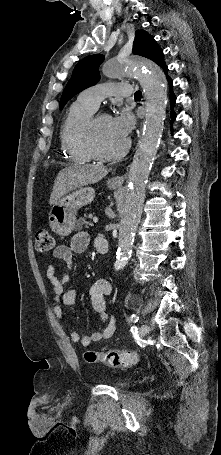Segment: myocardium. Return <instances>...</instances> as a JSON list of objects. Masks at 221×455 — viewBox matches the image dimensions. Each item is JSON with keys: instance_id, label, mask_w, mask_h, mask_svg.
Wrapping results in <instances>:
<instances>
[{"instance_id": "myocardium-1", "label": "myocardium", "mask_w": 221, "mask_h": 455, "mask_svg": "<svg viewBox=\"0 0 221 455\" xmlns=\"http://www.w3.org/2000/svg\"><path fill=\"white\" fill-rule=\"evenodd\" d=\"M109 116L107 114H104ZM100 115L91 117L85 128V146L89 155L98 161H112L125 155L130 148V140L126 139L120 149L112 153H102L98 150L95 143L96 121ZM110 117V116H109Z\"/></svg>"}]
</instances>
